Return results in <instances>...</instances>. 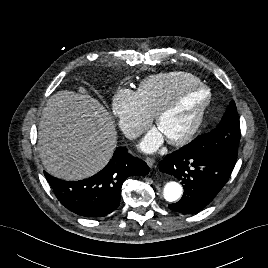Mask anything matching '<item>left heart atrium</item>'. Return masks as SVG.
I'll return each instance as SVG.
<instances>
[{"label":"left heart atrium","instance_id":"1","mask_svg":"<svg viewBox=\"0 0 268 268\" xmlns=\"http://www.w3.org/2000/svg\"><path fill=\"white\" fill-rule=\"evenodd\" d=\"M163 138L164 136L159 128H152L144 137L139 148L143 152H153L162 144Z\"/></svg>","mask_w":268,"mask_h":268}]
</instances>
